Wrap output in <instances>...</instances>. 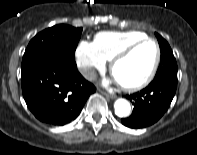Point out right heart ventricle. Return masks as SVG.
<instances>
[{
    "label": "right heart ventricle",
    "mask_w": 197,
    "mask_h": 155,
    "mask_svg": "<svg viewBox=\"0 0 197 155\" xmlns=\"http://www.w3.org/2000/svg\"><path fill=\"white\" fill-rule=\"evenodd\" d=\"M145 37V33L136 30L102 31L95 35L94 44L106 60H111L120 49Z\"/></svg>",
    "instance_id": "right-heart-ventricle-1"
}]
</instances>
